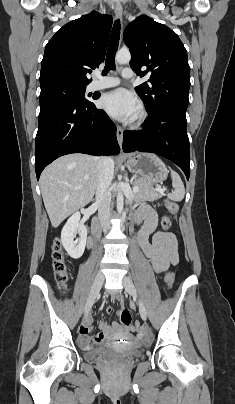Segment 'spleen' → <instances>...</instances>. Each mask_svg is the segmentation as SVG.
<instances>
[{
  "instance_id": "3e777b00",
  "label": "spleen",
  "mask_w": 235,
  "mask_h": 404,
  "mask_svg": "<svg viewBox=\"0 0 235 404\" xmlns=\"http://www.w3.org/2000/svg\"><path fill=\"white\" fill-rule=\"evenodd\" d=\"M171 178H172V186L174 187V191L168 194V198L180 202L183 200L185 195V188L180 176L173 170H171Z\"/></svg>"
}]
</instances>
